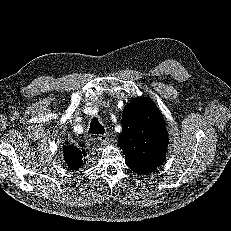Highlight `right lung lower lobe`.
Wrapping results in <instances>:
<instances>
[{
	"mask_svg": "<svg viewBox=\"0 0 231 231\" xmlns=\"http://www.w3.org/2000/svg\"><path fill=\"white\" fill-rule=\"evenodd\" d=\"M64 150L69 152V153H72L76 156H79L81 153H85L84 150H79L77 147L73 146V145H67L64 147Z\"/></svg>",
	"mask_w": 231,
	"mask_h": 231,
	"instance_id": "98d812e1",
	"label": "right lung lower lobe"
}]
</instances>
